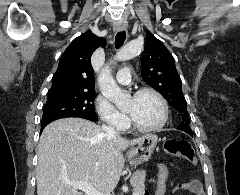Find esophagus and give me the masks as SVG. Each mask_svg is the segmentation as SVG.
Instances as JSON below:
<instances>
[{
	"instance_id": "1",
	"label": "esophagus",
	"mask_w": 240,
	"mask_h": 195,
	"mask_svg": "<svg viewBox=\"0 0 240 195\" xmlns=\"http://www.w3.org/2000/svg\"><path fill=\"white\" fill-rule=\"evenodd\" d=\"M126 27H127V24H118V25H114L113 29L114 31L121 32L122 30H125Z\"/></svg>"
}]
</instances>
